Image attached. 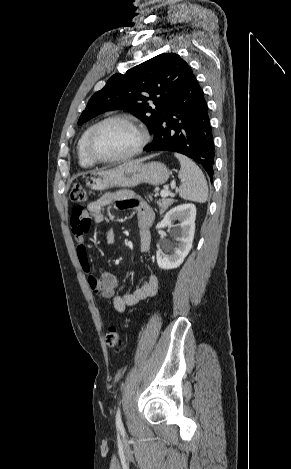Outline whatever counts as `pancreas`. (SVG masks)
I'll return each mask as SVG.
<instances>
[{
    "label": "pancreas",
    "instance_id": "1",
    "mask_svg": "<svg viewBox=\"0 0 291 469\" xmlns=\"http://www.w3.org/2000/svg\"><path fill=\"white\" fill-rule=\"evenodd\" d=\"M150 199H152L151 196H149ZM174 203V199L170 198H162L161 200L157 201V205L160 208V214L164 213L166 209H168L169 206H171Z\"/></svg>",
    "mask_w": 291,
    "mask_h": 469
}]
</instances>
